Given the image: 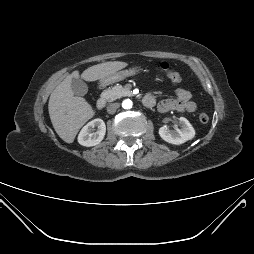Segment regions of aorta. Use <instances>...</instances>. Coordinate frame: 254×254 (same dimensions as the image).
<instances>
[{"label":"aorta","instance_id":"aorta-1","mask_svg":"<svg viewBox=\"0 0 254 254\" xmlns=\"http://www.w3.org/2000/svg\"><path fill=\"white\" fill-rule=\"evenodd\" d=\"M133 103L130 99H126L122 102V107L124 109H130L132 107Z\"/></svg>","mask_w":254,"mask_h":254}]
</instances>
